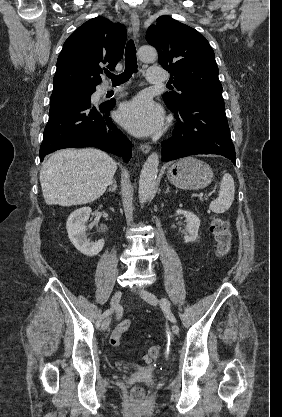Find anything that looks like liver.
<instances>
[{
	"label": "liver",
	"instance_id": "1",
	"mask_svg": "<svg viewBox=\"0 0 282 417\" xmlns=\"http://www.w3.org/2000/svg\"><path fill=\"white\" fill-rule=\"evenodd\" d=\"M118 162L98 148H63L53 152L40 170L46 204H86L99 198L110 184Z\"/></svg>",
	"mask_w": 282,
	"mask_h": 417
}]
</instances>
